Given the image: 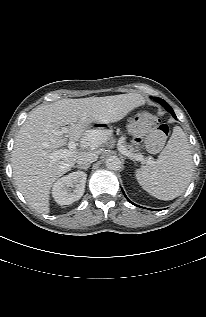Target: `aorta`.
I'll list each match as a JSON object with an SVG mask.
<instances>
[{
    "label": "aorta",
    "instance_id": "obj_1",
    "mask_svg": "<svg viewBox=\"0 0 206 317\" xmlns=\"http://www.w3.org/2000/svg\"><path fill=\"white\" fill-rule=\"evenodd\" d=\"M106 167L112 171H118L121 168V160L117 156H110L106 160Z\"/></svg>",
    "mask_w": 206,
    "mask_h": 317
}]
</instances>
